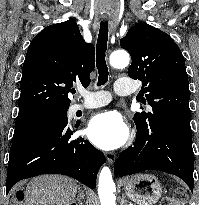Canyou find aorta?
<instances>
[{
	"mask_svg": "<svg viewBox=\"0 0 199 205\" xmlns=\"http://www.w3.org/2000/svg\"><path fill=\"white\" fill-rule=\"evenodd\" d=\"M129 54L124 50H118L111 54L110 64L114 68H125L129 64ZM115 184L112 174L107 166H104L99 174L98 195L101 205H116L115 204Z\"/></svg>",
	"mask_w": 199,
	"mask_h": 205,
	"instance_id": "762f6f07",
	"label": "aorta"
}]
</instances>
